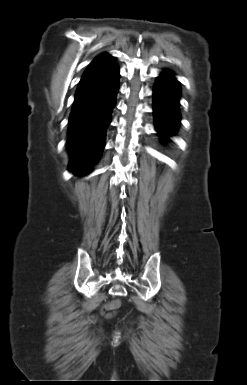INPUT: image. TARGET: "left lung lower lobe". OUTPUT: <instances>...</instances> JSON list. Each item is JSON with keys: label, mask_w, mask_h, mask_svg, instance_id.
Returning a JSON list of instances; mask_svg holds the SVG:
<instances>
[{"label": "left lung lower lobe", "mask_w": 247, "mask_h": 385, "mask_svg": "<svg viewBox=\"0 0 247 385\" xmlns=\"http://www.w3.org/2000/svg\"><path fill=\"white\" fill-rule=\"evenodd\" d=\"M180 85L171 71H164L158 78L153 92L155 127L163 141L174 135L180 123Z\"/></svg>", "instance_id": "0a47b994"}]
</instances>
